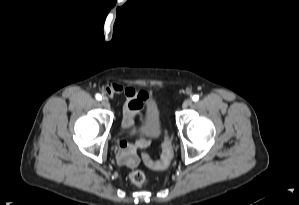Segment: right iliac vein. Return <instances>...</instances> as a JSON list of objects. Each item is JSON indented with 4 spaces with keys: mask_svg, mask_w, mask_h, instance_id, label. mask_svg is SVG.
Masks as SVG:
<instances>
[{
    "mask_svg": "<svg viewBox=\"0 0 299 205\" xmlns=\"http://www.w3.org/2000/svg\"><path fill=\"white\" fill-rule=\"evenodd\" d=\"M101 103L106 109H110V103L107 99H102Z\"/></svg>",
    "mask_w": 299,
    "mask_h": 205,
    "instance_id": "right-iliac-vein-1",
    "label": "right iliac vein"
}]
</instances>
